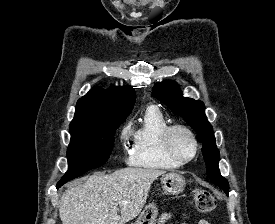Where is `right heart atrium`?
I'll use <instances>...</instances> for the list:
<instances>
[{
	"instance_id": "d8ad5b80",
	"label": "right heart atrium",
	"mask_w": 275,
	"mask_h": 224,
	"mask_svg": "<svg viewBox=\"0 0 275 224\" xmlns=\"http://www.w3.org/2000/svg\"><path fill=\"white\" fill-rule=\"evenodd\" d=\"M129 135H130V130L129 128H124L122 131H121V134H120V139L123 143H126L128 138H129Z\"/></svg>"
}]
</instances>
